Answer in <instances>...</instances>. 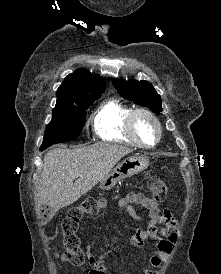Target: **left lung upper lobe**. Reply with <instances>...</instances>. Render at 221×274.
<instances>
[{
	"label": "left lung upper lobe",
	"mask_w": 221,
	"mask_h": 274,
	"mask_svg": "<svg viewBox=\"0 0 221 274\" xmlns=\"http://www.w3.org/2000/svg\"><path fill=\"white\" fill-rule=\"evenodd\" d=\"M112 83L118 93L127 100L148 107L156 113L163 111L161 97L148 81L113 79Z\"/></svg>",
	"instance_id": "left-lung-upper-lobe-1"
}]
</instances>
